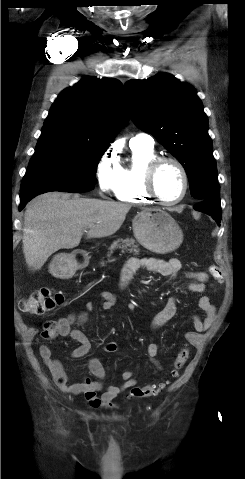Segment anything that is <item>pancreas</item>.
Segmentation results:
<instances>
[{"label":"pancreas","mask_w":245,"mask_h":479,"mask_svg":"<svg viewBox=\"0 0 245 479\" xmlns=\"http://www.w3.org/2000/svg\"><path fill=\"white\" fill-rule=\"evenodd\" d=\"M137 247L138 245L135 244V240L133 238H119L111 244L107 256L110 257L113 251L118 248L126 249L130 252H135L137 254L139 252ZM101 264L104 265V262H102Z\"/></svg>","instance_id":"cf45deb5"}]
</instances>
